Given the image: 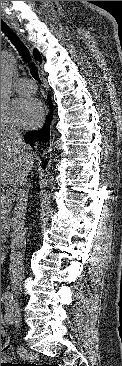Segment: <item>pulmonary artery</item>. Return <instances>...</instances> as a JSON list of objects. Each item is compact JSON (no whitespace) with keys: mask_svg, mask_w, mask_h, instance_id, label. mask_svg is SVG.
<instances>
[{"mask_svg":"<svg viewBox=\"0 0 122 366\" xmlns=\"http://www.w3.org/2000/svg\"><path fill=\"white\" fill-rule=\"evenodd\" d=\"M14 88L21 94H32L36 91L35 83L26 78L18 79L14 84Z\"/></svg>","mask_w":122,"mask_h":366,"instance_id":"obj_1","label":"pulmonary artery"}]
</instances>
